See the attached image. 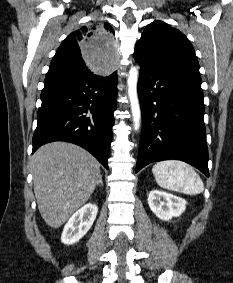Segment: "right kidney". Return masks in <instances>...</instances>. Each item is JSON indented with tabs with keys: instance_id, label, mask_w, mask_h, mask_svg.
<instances>
[{
	"instance_id": "ca27d5eb",
	"label": "right kidney",
	"mask_w": 233,
	"mask_h": 283,
	"mask_svg": "<svg viewBox=\"0 0 233 283\" xmlns=\"http://www.w3.org/2000/svg\"><path fill=\"white\" fill-rule=\"evenodd\" d=\"M97 211L98 207L92 203L76 211L65 225L61 241L67 245L78 242L93 225Z\"/></svg>"
}]
</instances>
